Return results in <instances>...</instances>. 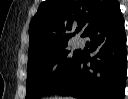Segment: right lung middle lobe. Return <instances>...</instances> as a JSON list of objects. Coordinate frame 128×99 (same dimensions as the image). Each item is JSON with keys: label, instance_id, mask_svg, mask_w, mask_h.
I'll return each instance as SVG.
<instances>
[{"label": "right lung middle lobe", "instance_id": "dd1d6c3e", "mask_svg": "<svg viewBox=\"0 0 128 99\" xmlns=\"http://www.w3.org/2000/svg\"><path fill=\"white\" fill-rule=\"evenodd\" d=\"M66 46L28 58L27 92L25 99H37L54 93L69 77L79 52L68 57ZM59 62L56 73L52 66Z\"/></svg>", "mask_w": 128, "mask_h": 99}]
</instances>
